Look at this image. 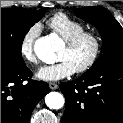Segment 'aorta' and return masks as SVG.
<instances>
[{
  "instance_id": "obj_1",
  "label": "aorta",
  "mask_w": 123,
  "mask_h": 123,
  "mask_svg": "<svg viewBox=\"0 0 123 123\" xmlns=\"http://www.w3.org/2000/svg\"><path fill=\"white\" fill-rule=\"evenodd\" d=\"M59 47L58 40L52 35L40 37L34 43L35 54L40 60L48 64L56 61V52ZM64 102L63 95L58 92H50L45 97V103L50 109H60Z\"/></svg>"
}]
</instances>
